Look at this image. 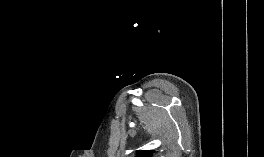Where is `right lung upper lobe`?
Here are the masks:
<instances>
[{"label":"right lung upper lobe","mask_w":264,"mask_h":157,"mask_svg":"<svg viewBox=\"0 0 264 157\" xmlns=\"http://www.w3.org/2000/svg\"><path fill=\"white\" fill-rule=\"evenodd\" d=\"M151 153H153V150L141 151L136 157H153Z\"/></svg>","instance_id":"right-lung-upper-lobe-1"}]
</instances>
